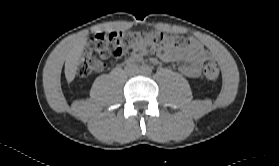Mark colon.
Wrapping results in <instances>:
<instances>
[{"label": "colon", "instance_id": "obj_1", "mask_svg": "<svg viewBox=\"0 0 279 166\" xmlns=\"http://www.w3.org/2000/svg\"><path fill=\"white\" fill-rule=\"evenodd\" d=\"M188 41L180 36L168 35L161 31H115L98 33L93 36L82 53L77 67L80 77H87L103 71L107 60L132 57L140 51H178L184 49ZM203 75L214 81L220 75L219 65L208 61L203 66Z\"/></svg>", "mask_w": 279, "mask_h": 166}]
</instances>
